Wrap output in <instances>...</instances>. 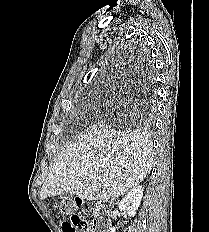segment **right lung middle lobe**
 I'll return each mask as SVG.
<instances>
[{"mask_svg": "<svg viewBox=\"0 0 209 232\" xmlns=\"http://www.w3.org/2000/svg\"><path fill=\"white\" fill-rule=\"evenodd\" d=\"M148 78V77H147ZM149 79L147 81L145 87V96L143 97L142 101V108L140 110V116L143 122L144 127L151 128L153 125V114L155 110L154 100H155V92L154 88L152 87Z\"/></svg>", "mask_w": 209, "mask_h": 232, "instance_id": "dd1d6c3e", "label": "right lung middle lobe"}]
</instances>
